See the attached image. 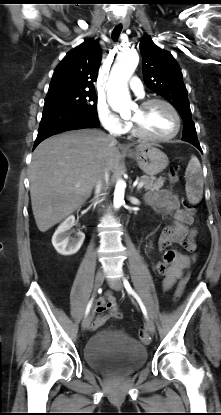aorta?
Segmentation results:
<instances>
[{"label":"aorta","instance_id":"1","mask_svg":"<svg viewBox=\"0 0 221 415\" xmlns=\"http://www.w3.org/2000/svg\"><path fill=\"white\" fill-rule=\"evenodd\" d=\"M139 62L138 53L130 50L120 53L111 70V86L107 94L111 108L119 113L129 110L132 104L128 91V80ZM126 183L118 180L114 191V207L120 208L124 201Z\"/></svg>","mask_w":221,"mask_h":415}]
</instances>
